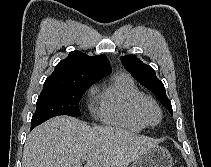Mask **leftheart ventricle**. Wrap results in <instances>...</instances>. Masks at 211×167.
<instances>
[{
    "label": "left heart ventricle",
    "mask_w": 211,
    "mask_h": 167,
    "mask_svg": "<svg viewBox=\"0 0 211 167\" xmlns=\"http://www.w3.org/2000/svg\"><path fill=\"white\" fill-rule=\"evenodd\" d=\"M145 115L146 118L150 121V122H157L159 119V114L158 111L156 110V108L152 105H147L146 109H145Z\"/></svg>",
    "instance_id": "b2bd125f"
}]
</instances>
